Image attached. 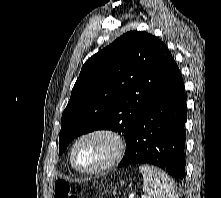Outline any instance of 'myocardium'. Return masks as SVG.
Returning <instances> with one entry per match:
<instances>
[{"label":"myocardium","instance_id":"myocardium-1","mask_svg":"<svg viewBox=\"0 0 221 198\" xmlns=\"http://www.w3.org/2000/svg\"><path fill=\"white\" fill-rule=\"evenodd\" d=\"M91 137H105L109 139L113 144V151L112 154L109 156V158L100 166L91 169L82 168L78 166L75 162V150L80 142ZM125 149H126L125 141L117 131L110 128L91 129L80 134L74 140L70 149V163L76 171L82 174L86 175L100 174L114 167L123 157Z\"/></svg>","mask_w":221,"mask_h":198}]
</instances>
